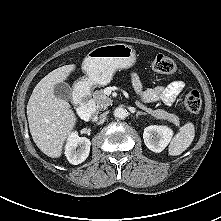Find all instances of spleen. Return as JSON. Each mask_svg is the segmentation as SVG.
<instances>
[{
  "label": "spleen",
  "mask_w": 221,
  "mask_h": 221,
  "mask_svg": "<svg viewBox=\"0 0 221 221\" xmlns=\"http://www.w3.org/2000/svg\"><path fill=\"white\" fill-rule=\"evenodd\" d=\"M195 137V127L193 123L188 122L180 127L179 132L172 139L168 153L171 156H177L183 153L192 143Z\"/></svg>",
  "instance_id": "obj_1"
}]
</instances>
